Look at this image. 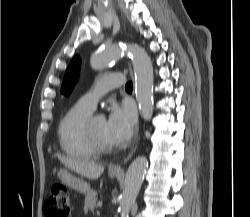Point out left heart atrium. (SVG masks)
Masks as SVG:
<instances>
[{
  "mask_svg": "<svg viewBox=\"0 0 250 217\" xmlns=\"http://www.w3.org/2000/svg\"><path fill=\"white\" fill-rule=\"evenodd\" d=\"M107 132L114 145H122L130 140L137 126L134 107L129 103H114L106 120Z\"/></svg>",
  "mask_w": 250,
  "mask_h": 217,
  "instance_id": "obj_1",
  "label": "left heart atrium"
}]
</instances>
